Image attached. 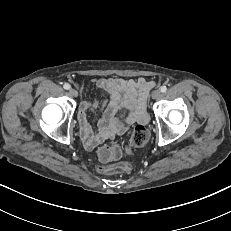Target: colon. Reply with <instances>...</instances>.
<instances>
[{
  "mask_svg": "<svg viewBox=\"0 0 231 231\" xmlns=\"http://www.w3.org/2000/svg\"><path fill=\"white\" fill-rule=\"evenodd\" d=\"M149 139V131L143 125H137L131 135L130 144L132 147H142ZM122 154L121 148L116 144L103 145L98 149V157L102 164L98 165V170L104 174H124L130 173L132 165L128 162L118 164H108L118 159Z\"/></svg>",
  "mask_w": 231,
  "mask_h": 231,
  "instance_id": "colon-1",
  "label": "colon"
}]
</instances>
